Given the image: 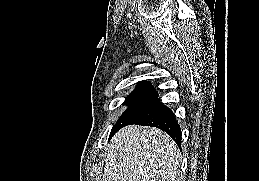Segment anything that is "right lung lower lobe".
<instances>
[{"label": "right lung lower lobe", "mask_w": 259, "mask_h": 181, "mask_svg": "<svg viewBox=\"0 0 259 181\" xmlns=\"http://www.w3.org/2000/svg\"><path fill=\"white\" fill-rule=\"evenodd\" d=\"M131 124H138L142 126H152V127L159 128L165 131L178 144V146H181L182 138H181L180 126L177 123V120L173 112L170 110V108H168L167 106H164L160 102V99L158 98V96L135 120H133L127 125H131ZM117 131L113 132L110 135V138Z\"/></svg>", "instance_id": "obj_1"}]
</instances>
